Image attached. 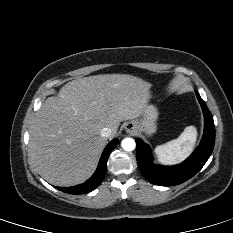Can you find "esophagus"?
I'll return each mask as SVG.
<instances>
[{"instance_id": "34e87169", "label": "esophagus", "mask_w": 233, "mask_h": 233, "mask_svg": "<svg viewBox=\"0 0 233 233\" xmlns=\"http://www.w3.org/2000/svg\"><path fill=\"white\" fill-rule=\"evenodd\" d=\"M126 131L129 132V133H132V132L135 131V127H134L133 123H128L126 125Z\"/></svg>"}]
</instances>
